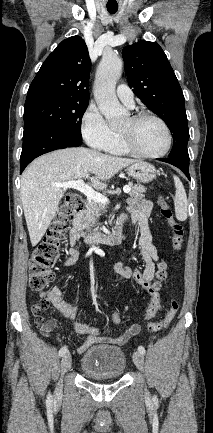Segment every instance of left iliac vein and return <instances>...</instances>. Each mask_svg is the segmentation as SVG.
I'll return each mask as SVG.
<instances>
[{
	"label": "left iliac vein",
	"mask_w": 213,
	"mask_h": 433,
	"mask_svg": "<svg viewBox=\"0 0 213 433\" xmlns=\"http://www.w3.org/2000/svg\"><path fill=\"white\" fill-rule=\"evenodd\" d=\"M133 362L139 370H143L144 368V356L140 352H135L133 354Z\"/></svg>",
	"instance_id": "1"
}]
</instances>
